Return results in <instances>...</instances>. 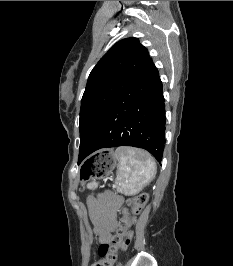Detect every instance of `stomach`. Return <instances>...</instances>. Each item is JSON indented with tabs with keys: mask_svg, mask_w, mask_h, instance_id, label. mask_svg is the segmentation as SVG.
Here are the masks:
<instances>
[{
	"mask_svg": "<svg viewBox=\"0 0 233 266\" xmlns=\"http://www.w3.org/2000/svg\"><path fill=\"white\" fill-rule=\"evenodd\" d=\"M116 147H99V152H90L89 161L84 166H117L118 156H113ZM107 167H79L78 176L82 185H97V180H106Z\"/></svg>",
	"mask_w": 233,
	"mask_h": 266,
	"instance_id": "1",
	"label": "stomach"
}]
</instances>
